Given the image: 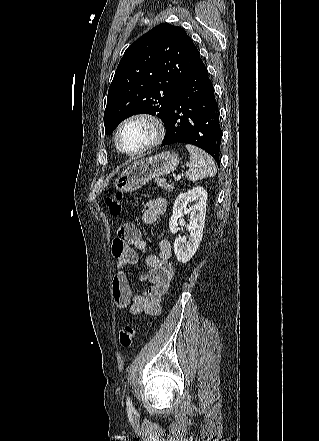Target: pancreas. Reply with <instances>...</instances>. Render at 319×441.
Listing matches in <instances>:
<instances>
[{
    "label": "pancreas",
    "mask_w": 319,
    "mask_h": 441,
    "mask_svg": "<svg viewBox=\"0 0 319 441\" xmlns=\"http://www.w3.org/2000/svg\"><path fill=\"white\" fill-rule=\"evenodd\" d=\"M157 185L166 192H171L175 186L169 182H166L164 179H156Z\"/></svg>",
    "instance_id": "obj_1"
}]
</instances>
